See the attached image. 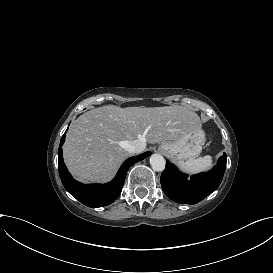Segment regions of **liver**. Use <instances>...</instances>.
<instances>
[{
	"instance_id": "obj_1",
	"label": "liver",
	"mask_w": 273,
	"mask_h": 273,
	"mask_svg": "<svg viewBox=\"0 0 273 273\" xmlns=\"http://www.w3.org/2000/svg\"><path fill=\"white\" fill-rule=\"evenodd\" d=\"M201 125L198 113L182 105L100 106L83 113L70 125L63 160L76 181L108 183L130 156L125 149L127 142L176 140Z\"/></svg>"
}]
</instances>
